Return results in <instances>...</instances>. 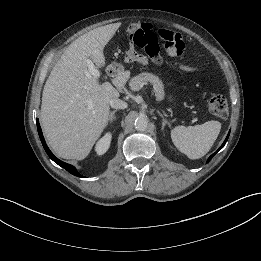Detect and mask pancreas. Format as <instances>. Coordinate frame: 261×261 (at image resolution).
Listing matches in <instances>:
<instances>
[{
    "mask_svg": "<svg viewBox=\"0 0 261 261\" xmlns=\"http://www.w3.org/2000/svg\"><path fill=\"white\" fill-rule=\"evenodd\" d=\"M145 82H150L153 86V93L157 100H162L165 96L164 86L162 81L155 75L151 73H141L130 80V88L133 91H138L145 84Z\"/></svg>",
    "mask_w": 261,
    "mask_h": 261,
    "instance_id": "1",
    "label": "pancreas"
}]
</instances>
